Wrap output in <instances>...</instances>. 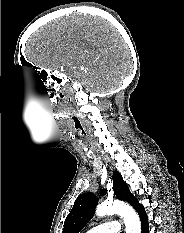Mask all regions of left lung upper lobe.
I'll use <instances>...</instances> for the list:
<instances>
[{
    "label": "left lung upper lobe",
    "instance_id": "left-lung-upper-lobe-1",
    "mask_svg": "<svg viewBox=\"0 0 184 233\" xmlns=\"http://www.w3.org/2000/svg\"><path fill=\"white\" fill-rule=\"evenodd\" d=\"M113 190L115 197L119 200L128 201L131 205L137 201L118 171L113 172ZM106 193V189L100 191L102 196ZM97 204L98 198L94 193L79 195L65 220L62 233H79L92 219Z\"/></svg>",
    "mask_w": 184,
    "mask_h": 233
}]
</instances>
